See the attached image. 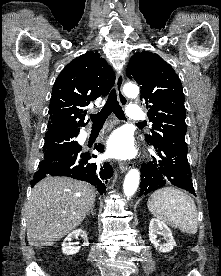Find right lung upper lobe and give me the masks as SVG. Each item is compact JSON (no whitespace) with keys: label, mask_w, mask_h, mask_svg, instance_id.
I'll return each instance as SVG.
<instances>
[{"label":"right lung upper lobe","mask_w":221,"mask_h":276,"mask_svg":"<svg viewBox=\"0 0 221 276\" xmlns=\"http://www.w3.org/2000/svg\"><path fill=\"white\" fill-rule=\"evenodd\" d=\"M114 83L112 68L98 52H88L72 60L53 85L45 135L78 134L85 125L84 108L99 96H106Z\"/></svg>","instance_id":"1"}]
</instances>
